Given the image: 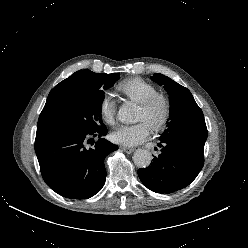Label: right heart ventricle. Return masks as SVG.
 I'll list each match as a JSON object with an SVG mask.
<instances>
[{"mask_svg": "<svg viewBox=\"0 0 248 248\" xmlns=\"http://www.w3.org/2000/svg\"><path fill=\"white\" fill-rule=\"evenodd\" d=\"M117 90L136 103L158 93L154 85L140 78L129 79L120 83Z\"/></svg>", "mask_w": 248, "mask_h": 248, "instance_id": "1", "label": "right heart ventricle"}]
</instances>
